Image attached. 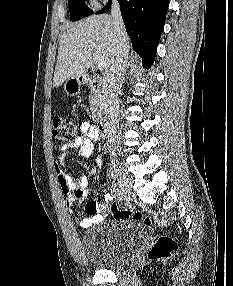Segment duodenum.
Here are the masks:
<instances>
[{
	"instance_id": "410a0bca",
	"label": "duodenum",
	"mask_w": 233,
	"mask_h": 286,
	"mask_svg": "<svg viewBox=\"0 0 233 286\" xmlns=\"http://www.w3.org/2000/svg\"><path fill=\"white\" fill-rule=\"evenodd\" d=\"M81 80L92 90L99 91L102 88L103 82L101 79L91 76L90 74H84ZM98 129L105 133L109 130V122L104 114H100L97 118Z\"/></svg>"
}]
</instances>
